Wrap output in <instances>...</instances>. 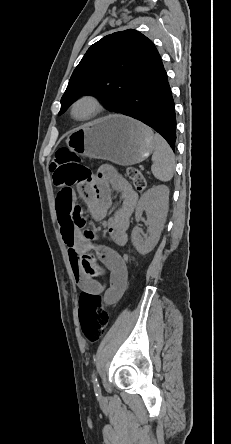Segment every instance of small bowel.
Listing matches in <instances>:
<instances>
[{"label": "small bowel", "instance_id": "small-bowel-1", "mask_svg": "<svg viewBox=\"0 0 231 444\" xmlns=\"http://www.w3.org/2000/svg\"><path fill=\"white\" fill-rule=\"evenodd\" d=\"M112 190L121 195V203L109 215ZM79 193L95 220L108 217L106 227L109 239L116 245H125L130 216L137 202V194L132 186L115 168L104 165L91 179L84 181ZM56 207L60 231L68 249L77 284L84 292L104 294V301L108 304L116 302L123 295L128 282L125 260L111 247L95 246L92 235L78 228L77 221L81 214L76 212L79 208L76 204V193L71 187H61ZM101 280H108L107 289Z\"/></svg>", "mask_w": 231, "mask_h": 444}]
</instances>
